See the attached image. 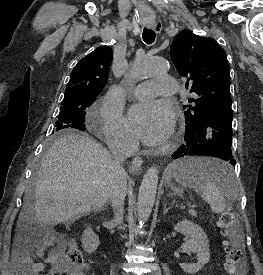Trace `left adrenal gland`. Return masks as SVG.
<instances>
[{"instance_id":"left-adrenal-gland-1","label":"left adrenal gland","mask_w":263,"mask_h":275,"mask_svg":"<svg viewBox=\"0 0 263 275\" xmlns=\"http://www.w3.org/2000/svg\"><path fill=\"white\" fill-rule=\"evenodd\" d=\"M169 209H170V207L167 208V204H164V212H163V214L165 215L168 212Z\"/></svg>"}]
</instances>
